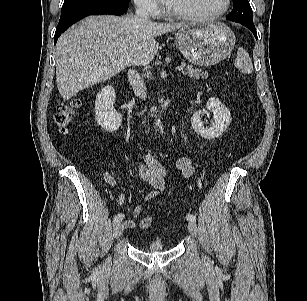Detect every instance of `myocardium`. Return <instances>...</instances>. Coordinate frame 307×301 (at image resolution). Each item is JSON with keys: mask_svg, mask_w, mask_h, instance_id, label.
<instances>
[{"mask_svg": "<svg viewBox=\"0 0 307 301\" xmlns=\"http://www.w3.org/2000/svg\"><path fill=\"white\" fill-rule=\"evenodd\" d=\"M231 1L232 0H225L224 1V6L213 13H208V14H188V13H183L180 11H177L175 9H172L168 6L167 8V13L168 15L181 19V20H185V21H208V20H213V19H217L223 15H225L230 7H231Z\"/></svg>", "mask_w": 307, "mask_h": 301, "instance_id": "1", "label": "myocardium"}]
</instances>
